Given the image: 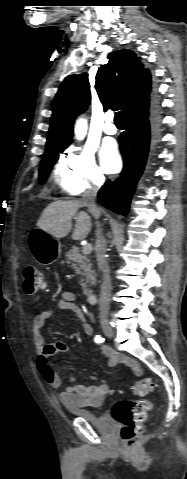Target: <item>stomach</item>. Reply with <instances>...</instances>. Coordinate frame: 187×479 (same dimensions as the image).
I'll return each instance as SVG.
<instances>
[{
    "label": "stomach",
    "mask_w": 187,
    "mask_h": 479,
    "mask_svg": "<svg viewBox=\"0 0 187 479\" xmlns=\"http://www.w3.org/2000/svg\"><path fill=\"white\" fill-rule=\"evenodd\" d=\"M28 246L33 258L42 266L57 261L62 252L59 240L40 228H35L29 233Z\"/></svg>",
    "instance_id": "stomach-1"
}]
</instances>
